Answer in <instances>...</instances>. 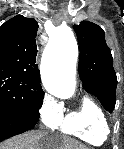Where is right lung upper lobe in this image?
I'll list each match as a JSON object with an SVG mask.
<instances>
[{"mask_svg":"<svg viewBox=\"0 0 124 149\" xmlns=\"http://www.w3.org/2000/svg\"><path fill=\"white\" fill-rule=\"evenodd\" d=\"M38 24L33 18L17 15L0 27V69L23 75L33 85L41 86L36 64L35 42Z\"/></svg>","mask_w":124,"mask_h":149,"instance_id":"obj_1","label":"right lung upper lobe"}]
</instances>
